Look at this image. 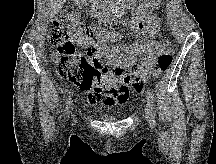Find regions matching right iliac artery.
<instances>
[{"instance_id":"right-iliac-artery-1","label":"right iliac artery","mask_w":216,"mask_h":164,"mask_svg":"<svg viewBox=\"0 0 216 164\" xmlns=\"http://www.w3.org/2000/svg\"><path fill=\"white\" fill-rule=\"evenodd\" d=\"M69 104H70V101H67V103H66V109H68Z\"/></svg>"}]
</instances>
